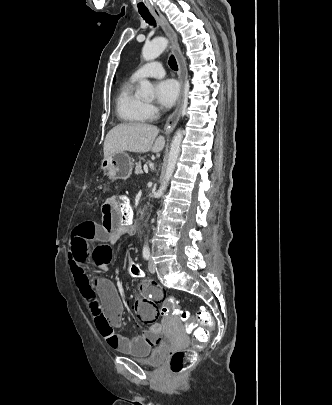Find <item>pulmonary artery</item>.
Here are the masks:
<instances>
[{
	"instance_id": "1",
	"label": "pulmonary artery",
	"mask_w": 332,
	"mask_h": 405,
	"mask_svg": "<svg viewBox=\"0 0 332 405\" xmlns=\"http://www.w3.org/2000/svg\"><path fill=\"white\" fill-rule=\"evenodd\" d=\"M165 74L164 68L159 62H151L138 68L132 78L135 80L145 77H162Z\"/></svg>"
}]
</instances>
